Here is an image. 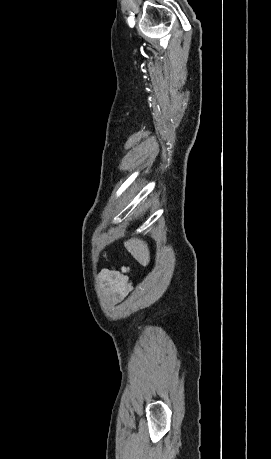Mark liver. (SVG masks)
Listing matches in <instances>:
<instances>
[{
    "instance_id": "6515ba94",
    "label": "liver",
    "mask_w": 271,
    "mask_h": 459,
    "mask_svg": "<svg viewBox=\"0 0 271 459\" xmlns=\"http://www.w3.org/2000/svg\"><path fill=\"white\" fill-rule=\"evenodd\" d=\"M124 245L141 265H148L150 261L148 243H145L142 239H135V237H132V239L124 241Z\"/></svg>"
}]
</instances>
